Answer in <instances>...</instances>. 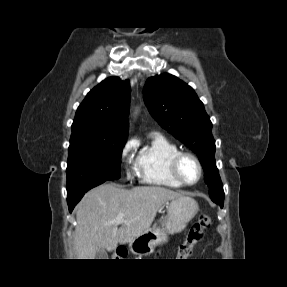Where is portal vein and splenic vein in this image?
Here are the masks:
<instances>
[{"label":"portal vein and splenic vein","instance_id":"1","mask_svg":"<svg viewBox=\"0 0 287 287\" xmlns=\"http://www.w3.org/2000/svg\"><path fill=\"white\" fill-rule=\"evenodd\" d=\"M115 222L116 223H121V222H124V214H119L116 219H115Z\"/></svg>","mask_w":287,"mask_h":287}]
</instances>
